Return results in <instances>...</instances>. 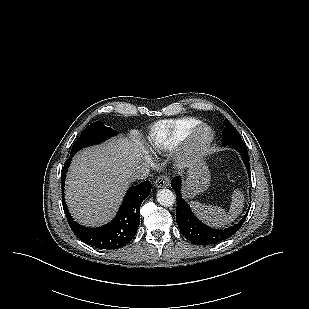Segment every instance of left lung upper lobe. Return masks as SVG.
<instances>
[{"label": "left lung upper lobe", "mask_w": 309, "mask_h": 309, "mask_svg": "<svg viewBox=\"0 0 309 309\" xmlns=\"http://www.w3.org/2000/svg\"><path fill=\"white\" fill-rule=\"evenodd\" d=\"M224 127L225 128L223 130V145H231L243 142L238 131L227 119H225Z\"/></svg>", "instance_id": "left-lung-upper-lobe-1"}]
</instances>
